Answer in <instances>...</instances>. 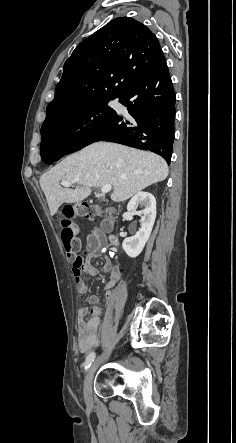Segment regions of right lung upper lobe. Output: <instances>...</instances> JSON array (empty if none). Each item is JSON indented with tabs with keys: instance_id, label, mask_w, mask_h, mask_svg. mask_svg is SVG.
Returning <instances> with one entry per match:
<instances>
[{
	"instance_id": "right-lung-upper-lobe-1",
	"label": "right lung upper lobe",
	"mask_w": 236,
	"mask_h": 443,
	"mask_svg": "<svg viewBox=\"0 0 236 443\" xmlns=\"http://www.w3.org/2000/svg\"><path fill=\"white\" fill-rule=\"evenodd\" d=\"M164 56L142 23L118 17L81 42L66 60L46 119L98 96L119 97Z\"/></svg>"
}]
</instances>
